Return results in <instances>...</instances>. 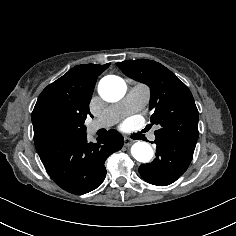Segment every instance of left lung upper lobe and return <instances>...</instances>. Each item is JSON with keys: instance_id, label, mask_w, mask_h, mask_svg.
Returning a JSON list of instances; mask_svg holds the SVG:
<instances>
[{"instance_id": "left-lung-upper-lobe-1", "label": "left lung upper lobe", "mask_w": 236, "mask_h": 236, "mask_svg": "<svg viewBox=\"0 0 236 236\" xmlns=\"http://www.w3.org/2000/svg\"><path fill=\"white\" fill-rule=\"evenodd\" d=\"M116 65L128 77L150 87V109H155L150 120L160 127L154 132L155 136L196 145L198 110L188 87L153 60L123 61Z\"/></svg>"}]
</instances>
